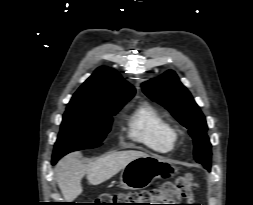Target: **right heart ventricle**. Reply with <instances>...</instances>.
<instances>
[{
  "mask_svg": "<svg viewBox=\"0 0 253 205\" xmlns=\"http://www.w3.org/2000/svg\"><path fill=\"white\" fill-rule=\"evenodd\" d=\"M127 136L130 140L158 152L173 149L177 139L167 118L148 103L140 105L129 116Z\"/></svg>",
  "mask_w": 253,
  "mask_h": 205,
  "instance_id": "obj_1",
  "label": "right heart ventricle"
}]
</instances>
